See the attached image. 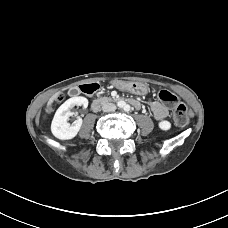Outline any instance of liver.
I'll list each match as a JSON object with an SVG mask.
<instances>
[{
	"label": "liver",
	"instance_id": "1",
	"mask_svg": "<svg viewBox=\"0 0 228 228\" xmlns=\"http://www.w3.org/2000/svg\"><path fill=\"white\" fill-rule=\"evenodd\" d=\"M56 97H57V95H55V96L52 98V100H50L49 105H51V104L53 103V100H55Z\"/></svg>",
	"mask_w": 228,
	"mask_h": 228
}]
</instances>
